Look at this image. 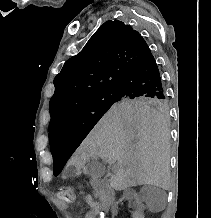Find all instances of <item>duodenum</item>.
<instances>
[{"label":"duodenum","instance_id":"obj_1","mask_svg":"<svg viewBox=\"0 0 211 218\" xmlns=\"http://www.w3.org/2000/svg\"><path fill=\"white\" fill-rule=\"evenodd\" d=\"M92 186L100 196L102 210H108L115 199L112 187L104 179H93Z\"/></svg>","mask_w":211,"mask_h":218}]
</instances>
